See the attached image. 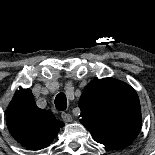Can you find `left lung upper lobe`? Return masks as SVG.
I'll use <instances>...</instances> for the list:
<instances>
[{"mask_svg": "<svg viewBox=\"0 0 155 155\" xmlns=\"http://www.w3.org/2000/svg\"><path fill=\"white\" fill-rule=\"evenodd\" d=\"M78 104L80 122L98 143L120 149L137 137L141 127L140 102L128 84L113 78L91 81Z\"/></svg>", "mask_w": 155, "mask_h": 155, "instance_id": "1", "label": "left lung upper lobe"}]
</instances>
